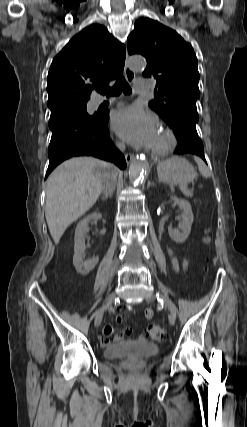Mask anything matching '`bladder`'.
<instances>
[{
  "label": "bladder",
  "instance_id": "1",
  "mask_svg": "<svg viewBox=\"0 0 247 427\" xmlns=\"http://www.w3.org/2000/svg\"><path fill=\"white\" fill-rule=\"evenodd\" d=\"M159 351V347L153 343L120 342L107 346L104 354L109 359H118L128 355L150 358L156 356Z\"/></svg>",
  "mask_w": 247,
  "mask_h": 427
}]
</instances>
